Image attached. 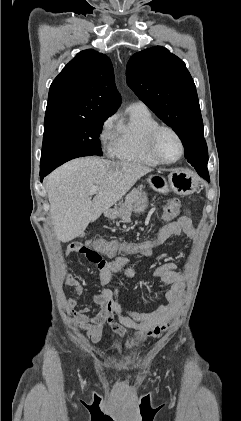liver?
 Returning <instances> with one entry per match:
<instances>
[{"mask_svg":"<svg viewBox=\"0 0 241 421\" xmlns=\"http://www.w3.org/2000/svg\"><path fill=\"white\" fill-rule=\"evenodd\" d=\"M148 166L95 157L71 160L45 180L50 214L58 241H71L119 201L144 175ZM97 186L93 200L89 191Z\"/></svg>","mask_w":241,"mask_h":421,"instance_id":"obj_1","label":"liver"}]
</instances>
